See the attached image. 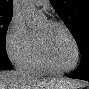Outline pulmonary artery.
<instances>
[{"mask_svg": "<svg viewBox=\"0 0 89 89\" xmlns=\"http://www.w3.org/2000/svg\"><path fill=\"white\" fill-rule=\"evenodd\" d=\"M36 5H45L48 3L46 0H35L33 1Z\"/></svg>", "mask_w": 89, "mask_h": 89, "instance_id": "1", "label": "pulmonary artery"}]
</instances>
